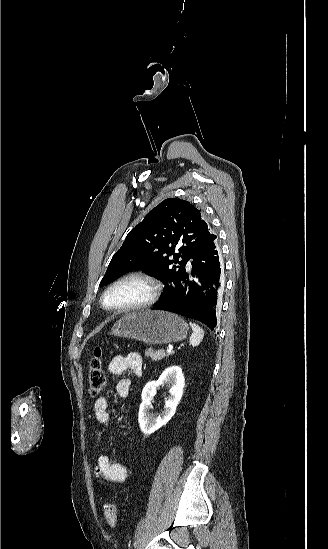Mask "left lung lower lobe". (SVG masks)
<instances>
[{"label":"left lung lower lobe","mask_w":328,"mask_h":549,"mask_svg":"<svg viewBox=\"0 0 328 549\" xmlns=\"http://www.w3.org/2000/svg\"><path fill=\"white\" fill-rule=\"evenodd\" d=\"M191 276L187 270L173 290L153 306L154 310L169 311L200 320L216 331L220 297L223 291L222 260L216 241L196 253L191 260Z\"/></svg>","instance_id":"1"}]
</instances>
